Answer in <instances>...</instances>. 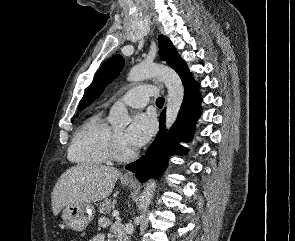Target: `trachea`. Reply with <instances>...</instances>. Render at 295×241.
I'll return each instance as SVG.
<instances>
[{
	"mask_svg": "<svg viewBox=\"0 0 295 241\" xmlns=\"http://www.w3.org/2000/svg\"><path fill=\"white\" fill-rule=\"evenodd\" d=\"M156 104L157 106L162 107L164 105V98L163 97L157 98Z\"/></svg>",
	"mask_w": 295,
	"mask_h": 241,
	"instance_id": "1",
	"label": "trachea"
}]
</instances>
